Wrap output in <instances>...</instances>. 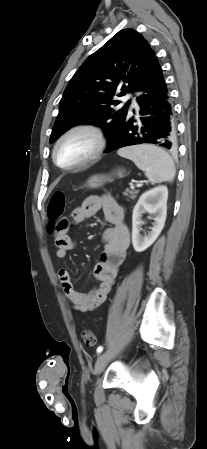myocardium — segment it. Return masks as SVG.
Masks as SVG:
<instances>
[{
	"instance_id": "myocardium-1",
	"label": "myocardium",
	"mask_w": 207,
	"mask_h": 449,
	"mask_svg": "<svg viewBox=\"0 0 207 449\" xmlns=\"http://www.w3.org/2000/svg\"><path fill=\"white\" fill-rule=\"evenodd\" d=\"M77 133H86L93 138L94 147H93L92 151L83 159H81L75 163H72L70 165L59 164V162L57 161V157H56L58 147L65 139H67L68 137H70L74 134H77ZM105 147H106V136L102 129H100L99 127H97L93 124L80 123V124H76V125L70 127L69 129H67L65 132H63L59 136V138L55 142L53 150H52V159H53V162L55 163V165L57 167H59L60 169L72 170V169L84 166L86 164H89L92 161L96 160L102 154Z\"/></svg>"
}]
</instances>
